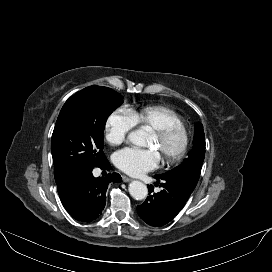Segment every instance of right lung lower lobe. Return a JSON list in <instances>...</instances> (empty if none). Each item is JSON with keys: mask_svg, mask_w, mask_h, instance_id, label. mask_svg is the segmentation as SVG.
I'll return each instance as SVG.
<instances>
[{"mask_svg": "<svg viewBox=\"0 0 272 272\" xmlns=\"http://www.w3.org/2000/svg\"><path fill=\"white\" fill-rule=\"evenodd\" d=\"M99 167L110 169V164L106 160ZM92 170L78 174L58 192L65 209L78 221L91 222L98 218L106 204L105 193L109 183L121 182L118 173L95 178Z\"/></svg>", "mask_w": 272, "mask_h": 272, "instance_id": "right-lung-lower-lobe-1", "label": "right lung lower lobe"}]
</instances>
